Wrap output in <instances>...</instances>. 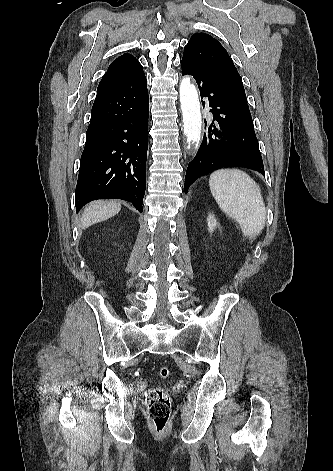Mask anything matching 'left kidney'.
<instances>
[{
	"mask_svg": "<svg viewBox=\"0 0 333 471\" xmlns=\"http://www.w3.org/2000/svg\"><path fill=\"white\" fill-rule=\"evenodd\" d=\"M207 225H208L209 232H213L214 229L218 227V223L213 214H209V216L207 217Z\"/></svg>",
	"mask_w": 333,
	"mask_h": 471,
	"instance_id": "5707ae66",
	"label": "left kidney"
}]
</instances>
